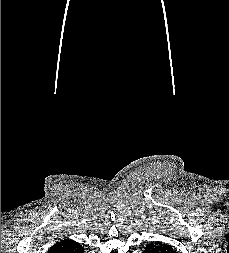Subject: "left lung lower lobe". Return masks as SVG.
Here are the masks:
<instances>
[{"label": "left lung lower lobe", "mask_w": 229, "mask_h": 253, "mask_svg": "<svg viewBox=\"0 0 229 253\" xmlns=\"http://www.w3.org/2000/svg\"><path fill=\"white\" fill-rule=\"evenodd\" d=\"M143 253H176L173 248L163 242L147 244Z\"/></svg>", "instance_id": "left-lung-lower-lobe-1"}]
</instances>
